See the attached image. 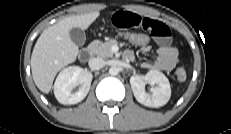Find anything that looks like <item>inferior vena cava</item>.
<instances>
[{
  "label": "inferior vena cava",
  "instance_id": "1",
  "mask_svg": "<svg viewBox=\"0 0 231 134\" xmlns=\"http://www.w3.org/2000/svg\"><path fill=\"white\" fill-rule=\"evenodd\" d=\"M105 66V61L102 58H91L89 60V67L92 70H99Z\"/></svg>",
  "mask_w": 231,
  "mask_h": 134
}]
</instances>
